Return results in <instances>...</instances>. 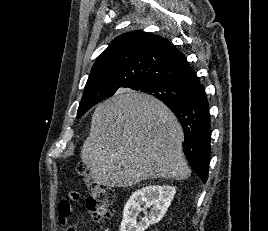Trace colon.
<instances>
[{
  "instance_id": "obj_1",
  "label": "colon",
  "mask_w": 268,
  "mask_h": 231,
  "mask_svg": "<svg viewBox=\"0 0 268 231\" xmlns=\"http://www.w3.org/2000/svg\"><path fill=\"white\" fill-rule=\"evenodd\" d=\"M77 170L81 176L87 179V209L92 218L101 220L110 216L112 212L111 205L114 198L113 191L99 182L92 180L88 176L87 167L84 163H79Z\"/></svg>"
}]
</instances>
